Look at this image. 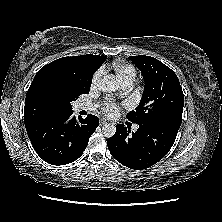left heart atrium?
<instances>
[{"instance_id":"left-heart-atrium-1","label":"left heart atrium","mask_w":222,"mask_h":222,"mask_svg":"<svg viewBox=\"0 0 222 222\" xmlns=\"http://www.w3.org/2000/svg\"><path fill=\"white\" fill-rule=\"evenodd\" d=\"M102 110L105 112V114L112 116L117 112L118 107L116 104L108 101L102 104Z\"/></svg>"}]
</instances>
